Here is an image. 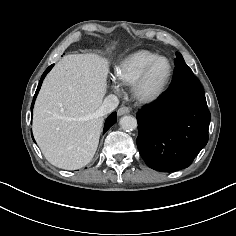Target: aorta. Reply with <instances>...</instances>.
<instances>
[{"mask_svg": "<svg viewBox=\"0 0 236 236\" xmlns=\"http://www.w3.org/2000/svg\"><path fill=\"white\" fill-rule=\"evenodd\" d=\"M119 123H120L121 128L126 131H132L137 128V120L133 116H129V115L123 116L121 117Z\"/></svg>", "mask_w": 236, "mask_h": 236, "instance_id": "1", "label": "aorta"}]
</instances>
